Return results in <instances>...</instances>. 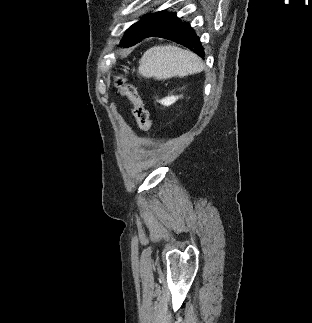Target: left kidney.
Returning <instances> with one entry per match:
<instances>
[{
    "label": "left kidney",
    "instance_id": "left-kidney-1",
    "mask_svg": "<svg viewBox=\"0 0 312 323\" xmlns=\"http://www.w3.org/2000/svg\"><path fill=\"white\" fill-rule=\"evenodd\" d=\"M179 96H170V98H164V100H159L163 106H171V104H174L176 100H178Z\"/></svg>",
    "mask_w": 312,
    "mask_h": 323
}]
</instances>
